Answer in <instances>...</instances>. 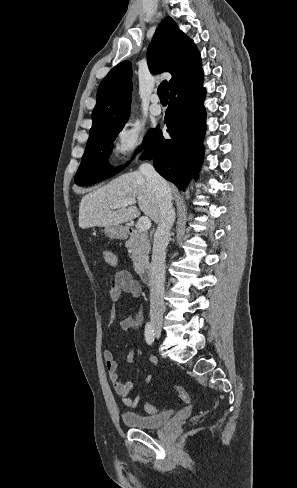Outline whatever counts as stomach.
I'll use <instances>...</instances> for the list:
<instances>
[{
	"label": "stomach",
	"instance_id": "0dacf381",
	"mask_svg": "<svg viewBox=\"0 0 297 488\" xmlns=\"http://www.w3.org/2000/svg\"><path fill=\"white\" fill-rule=\"evenodd\" d=\"M106 236L112 239H125L127 237V230L123 226H107L104 230Z\"/></svg>",
	"mask_w": 297,
	"mask_h": 488
}]
</instances>
